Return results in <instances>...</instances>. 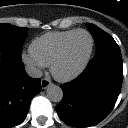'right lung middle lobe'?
<instances>
[{
    "label": "right lung middle lobe",
    "mask_w": 128,
    "mask_h": 128,
    "mask_svg": "<svg viewBox=\"0 0 128 128\" xmlns=\"http://www.w3.org/2000/svg\"><path fill=\"white\" fill-rule=\"evenodd\" d=\"M27 30L28 28L0 24V52L21 59V50L27 37Z\"/></svg>",
    "instance_id": "1"
}]
</instances>
